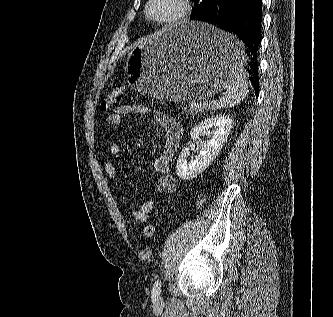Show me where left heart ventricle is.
Returning a JSON list of instances; mask_svg holds the SVG:
<instances>
[{"mask_svg": "<svg viewBox=\"0 0 333 317\" xmlns=\"http://www.w3.org/2000/svg\"><path fill=\"white\" fill-rule=\"evenodd\" d=\"M176 9L172 0H156L151 6V13L157 17H166L171 15Z\"/></svg>", "mask_w": 333, "mask_h": 317, "instance_id": "b2bd125f", "label": "left heart ventricle"}]
</instances>
